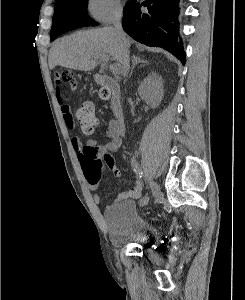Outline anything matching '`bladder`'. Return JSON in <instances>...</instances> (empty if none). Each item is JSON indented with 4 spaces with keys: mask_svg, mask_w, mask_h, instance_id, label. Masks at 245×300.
<instances>
[{
    "mask_svg": "<svg viewBox=\"0 0 245 300\" xmlns=\"http://www.w3.org/2000/svg\"><path fill=\"white\" fill-rule=\"evenodd\" d=\"M104 220L111 243L123 246L144 243L157 237L158 228L140 213L134 200H117L106 207Z\"/></svg>",
    "mask_w": 245,
    "mask_h": 300,
    "instance_id": "31cf9c89",
    "label": "bladder"
}]
</instances>
